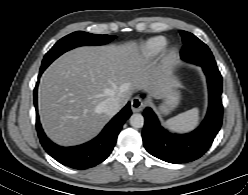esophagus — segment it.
I'll return each mask as SVG.
<instances>
[{"instance_id":"1","label":"esophagus","mask_w":248,"mask_h":195,"mask_svg":"<svg viewBox=\"0 0 248 195\" xmlns=\"http://www.w3.org/2000/svg\"><path fill=\"white\" fill-rule=\"evenodd\" d=\"M145 104L139 97H134L131 101V109L133 112H140L144 109Z\"/></svg>"}]
</instances>
